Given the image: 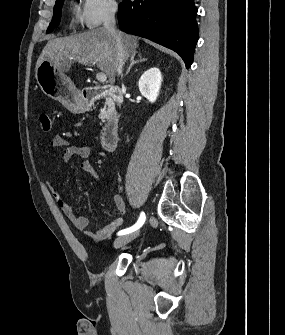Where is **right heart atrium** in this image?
Segmentation results:
<instances>
[{
    "label": "right heart atrium",
    "instance_id": "d8ad5b80",
    "mask_svg": "<svg viewBox=\"0 0 285 335\" xmlns=\"http://www.w3.org/2000/svg\"><path fill=\"white\" fill-rule=\"evenodd\" d=\"M118 8L117 1H83L72 11V22L96 29L114 18Z\"/></svg>",
    "mask_w": 285,
    "mask_h": 335
}]
</instances>
